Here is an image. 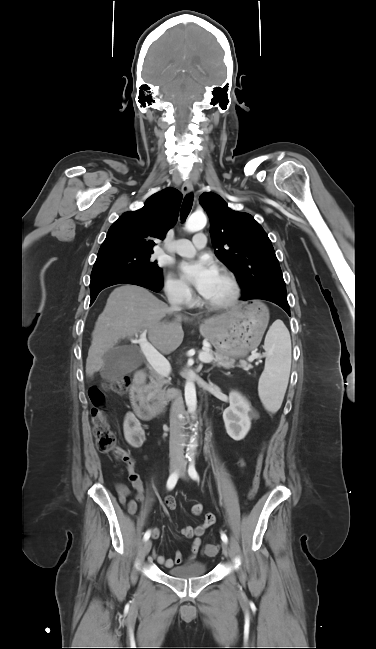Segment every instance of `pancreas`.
<instances>
[{
	"instance_id": "1",
	"label": "pancreas",
	"mask_w": 376,
	"mask_h": 649,
	"mask_svg": "<svg viewBox=\"0 0 376 649\" xmlns=\"http://www.w3.org/2000/svg\"><path fill=\"white\" fill-rule=\"evenodd\" d=\"M201 353L212 354L213 352L207 349H203ZM214 355L215 357L213 358V365H216L218 367H224L226 369L235 367V361L233 359H229L228 357L223 356L217 352L214 353ZM237 366L243 369L246 366H249L251 368V365H247L244 361H241L240 364ZM149 378H150V383L147 386V399L150 401L164 400L165 389L167 385L170 383V380L167 379V376L159 374L155 370H151V375Z\"/></svg>"
}]
</instances>
